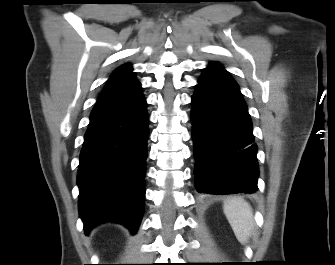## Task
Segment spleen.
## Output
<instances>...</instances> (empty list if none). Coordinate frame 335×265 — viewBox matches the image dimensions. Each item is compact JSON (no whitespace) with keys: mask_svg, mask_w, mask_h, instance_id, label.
<instances>
[{"mask_svg":"<svg viewBox=\"0 0 335 265\" xmlns=\"http://www.w3.org/2000/svg\"><path fill=\"white\" fill-rule=\"evenodd\" d=\"M223 211L237 240L241 244L247 243L254 228L250 204L240 197L229 198L224 202Z\"/></svg>","mask_w":335,"mask_h":265,"instance_id":"obj_1","label":"spleen"}]
</instances>
